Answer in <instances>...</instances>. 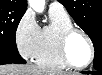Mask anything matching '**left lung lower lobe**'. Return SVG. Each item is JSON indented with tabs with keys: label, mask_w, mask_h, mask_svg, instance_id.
<instances>
[{
	"label": "left lung lower lobe",
	"mask_w": 102,
	"mask_h": 75,
	"mask_svg": "<svg viewBox=\"0 0 102 75\" xmlns=\"http://www.w3.org/2000/svg\"><path fill=\"white\" fill-rule=\"evenodd\" d=\"M85 74H88L89 72H84ZM94 75H101L102 74V69L101 70H96L94 72H91Z\"/></svg>",
	"instance_id": "left-lung-lower-lobe-1"
}]
</instances>
